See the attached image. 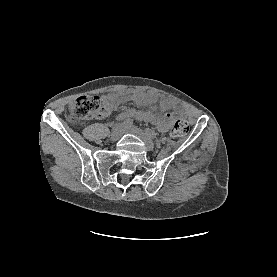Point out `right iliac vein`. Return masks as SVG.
Here are the masks:
<instances>
[{
	"label": "right iliac vein",
	"instance_id": "right-iliac-vein-1",
	"mask_svg": "<svg viewBox=\"0 0 277 277\" xmlns=\"http://www.w3.org/2000/svg\"><path fill=\"white\" fill-rule=\"evenodd\" d=\"M124 126L120 123L113 125L112 132L110 135L111 141H117L123 134Z\"/></svg>",
	"mask_w": 277,
	"mask_h": 277
}]
</instances>
